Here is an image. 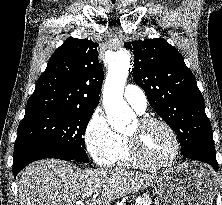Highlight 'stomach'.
I'll return each mask as SVG.
<instances>
[{"instance_id":"0dacf381","label":"stomach","mask_w":222,"mask_h":205,"mask_svg":"<svg viewBox=\"0 0 222 205\" xmlns=\"http://www.w3.org/2000/svg\"><path fill=\"white\" fill-rule=\"evenodd\" d=\"M156 184L157 205H211L215 195L211 170L197 163L163 171Z\"/></svg>"}]
</instances>
